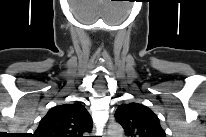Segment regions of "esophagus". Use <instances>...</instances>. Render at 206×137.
Returning a JSON list of instances; mask_svg holds the SVG:
<instances>
[{"instance_id":"obj_1","label":"esophagus","mask_w":206,"mask_h":137,"mask_svg":"<svg viewBox=\"0 0 206 137\" xmlns=\"http://www.w3.org/2000/svg\"><path fill=\"white\" fill-rule=\"evenodd\" d=\"M103 137H106V133H103Z\"/></svg>"}]
</instances>
